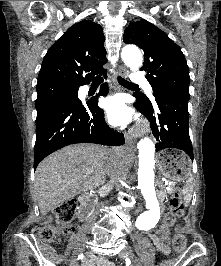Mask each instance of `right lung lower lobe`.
Masks as SVG:
<instances>
[{
  "instance_id": "98d812e1",
  "label": "right lung lower lobe",
  "mask_w": 221,
  "mask_h": 266,
  "mask_svg": "<svg viewBox=\"0 0 221 266\" xmlns=\"http://www.w3.org/2000/svg\"><path fill=\"white\" fill-rule=\"evenodd\" d=\"M106 92L104 88L99 95H105ZM76 143L109 146L125 143L123 134L106 124L104 112L98 107V97L85 103L77 99H65L37 112L34 169L47 155Z\"/></svg>"
}]
</instances>
